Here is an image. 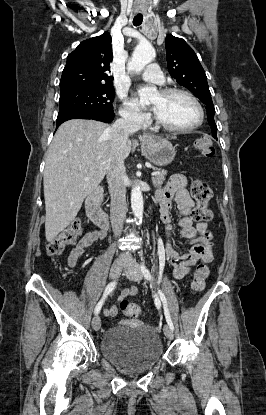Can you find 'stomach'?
<instances>
[{
  "instance_id": "stomach-1",
  "label": "stomach",
  "mask_w": 266,
  "mask_h": 415,
  "mask_svg": "<svg viewBox=\"0 0 266 415\" xmlns=\"http://www.w3.org/2000/svg\"><path fill=\"white\" fill-rule=\"evenodd\" d=\"M141 151L144 157L157 166L170 164L175 157V148L166 139L149 137L142 141Z\"/></svg>"
}]
</instances>
